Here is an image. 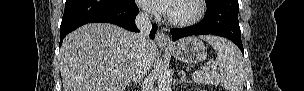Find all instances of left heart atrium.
I'll use <instances>...</instances> for the list:
<instances>
[{"mask_svg": "<svg viewBox=\"0 0 304 91\" xmlns=\"http://www.w3.org/2000/svg\"><path fill=\"white\" fill-rule=\"evenodd\" d=\"M172 2V0H142V5L151 11L169 14Z\"/></svg>", "mask_w": 304, "mask_h": 91, "instance_id": "39dd6f15", "label": "left heart atrium"}]
</instances>
